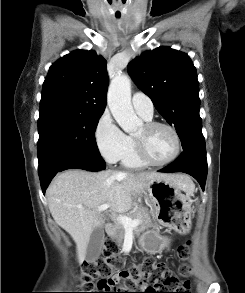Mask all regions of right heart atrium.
Wrapping results in <instances>:
<instances>
[{
	"label": "right heart atrium",
	"instance_id": "d8ad5b80",
	"mask_svg": "<svg viewBox=\"0 0 245 293\" xmlns=\"http://www.w3.org/2000/svg\"><path fill=\"white\" fill-rule=\"evenodd\" d=\"M94 137L101 155L111 163L122 159L132 144V139L118 127L108 114L100 117Z\"/></svg>",
	"mask_w": 245,
	"mask_h": 293
}]
</instances>
